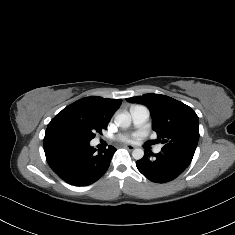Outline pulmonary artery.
<instances>
[{"mask_svg":"<svg viewBox=\"0 0 235 235\" xmlns=\"http://www.w3.org/2000/svg\"><path fill=\"white\" fill-rule=\"evenodd\" d=\"M130 113L132 116L133 124L136 128H142L146 125V123L149 120L150 117V110L145 105H133L130 108ZM99 140H97L95 143L97 144ZM154 151L156 153L161 151V146H156L154 148Z\"/></svg>","mask_w":235,"mask_h":235,"instance_id":"e3ab8cb5","label":"pulmonary artery"}]
</instances>
